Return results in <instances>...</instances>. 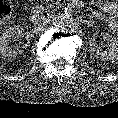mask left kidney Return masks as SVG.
<instances>
[{
	"label": "left kidney",
	"instance_id": "5707ae66",
	"mask_svg": "<svg viewBox=\"0 0 118 118\" xmlns=\"http://www.w3.org/2000/svg\"><path fill=\"white\" fill-rule=\"evenodd\" d=\"M102 38L108 44V50L103 51L97 44L94 38L89 41V51L96 58H100L105 61H117L118 60V39L109 34L108 32L101 33Z\"/></svg>",
	"mask_w": 118,
	"mask_h": 118
}]
</instances>
